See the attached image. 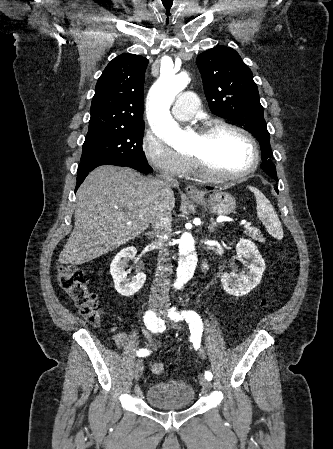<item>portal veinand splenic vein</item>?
<instances>
[{
    "mask_svg": "<svg viewBox=\"0 0 333 449\" xmlns=\"http://www.w3.org/2000/svg\"><path fill=\"white\" fill-rule=\"evenodd\" d=\"M250 225H251V224H250L249 222H245L244 227H245V228H250Z\"/></svg>",
    "mask_w": 333,
    "mask_h": 449,
    "instance_id": "18ae733b",
    "label": "portal vein and splenic vein"
}]
</instances>
